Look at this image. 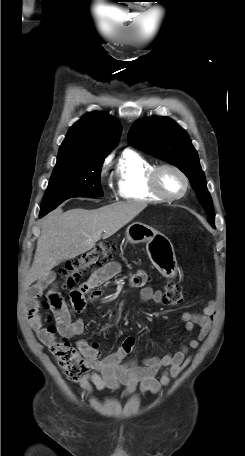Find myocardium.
<instances>
[{
  "label": "myocardium",
  "instance_id": "f54148a6",
  "mask_svg": "<svg viewBox=\"0 0 245 456\" xmlns=\"http://www.w3.org/2000/svg\"><path fill=\"white\" fill-rule=\"evenodd\" d=\"M164 169L173 170L182 178V180L184 182V188L180 194L170 195L161 189V187L159 185V174ZM147 182H148L150 191L154 195H156L159 198H161L162 200H166V201H175V200H179V199L183 198L189 189V179H188L187 175L184 173L183 170H181L179 167H177L176 165H173V164H161V165L154 166V168L148 174Z\"/></svg>",
  "mask_w": 245,
  "mask_h": 456
}]
</instances>
